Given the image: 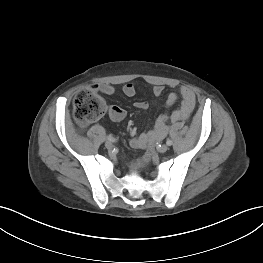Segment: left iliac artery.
<instances>
[{
    "label": "left iliac artery",
    "instance_id": "obj_1",
    "mask_svg": "<svg viewBox=\"0 0 263 263\" xmlns=\"http://www.w3.org/2000/svg\"><path fill=\"white\" fill-rule=\"evenodd\" d=\"M166 144H167L168 146H171V145L173 144V142H172V140L168 139V140L166 141Z\"/></svg>",
    "mask_w": 263,
    "mask_h": 263
}]
</instances>
